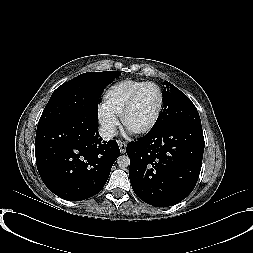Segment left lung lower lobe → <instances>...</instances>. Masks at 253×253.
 <instances>
[{"label":"left lung lower lobe","instance_id":"0a47b994","mask_svg":"<svg viewBox=\"0 0 253 253\" xmlns=\"http://www.w3.org/2000/svg\"><path fill=\"white\" fill-rule=\"evenodd\" d=\"M204 145L201 123L175 124L129 142L126 152L135 194L157 207L182 201L197 183Z\"/></svg>","mask_w":253,"mask_h":253}]
</instances>
